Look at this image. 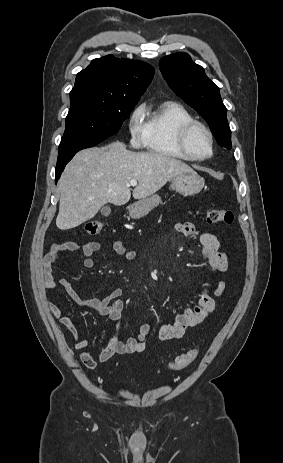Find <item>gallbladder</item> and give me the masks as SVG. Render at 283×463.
<instances>
[{"mask_svg":"<svg viewBox=\"0 0 283 463\" xmlns=\"http://www.w3.org/2000/svg\"><path fill=\"white\" fill-rule=\"evenodd\" d=\"M100 212L102 215H105V216L109 215L111 212L110 206L106 205V206L101 207Z\"/></svg>","mask_w":283,"mask_h":463,"instance_id":"gallbladder-1","label":"gallbladder"}]
</instances>
